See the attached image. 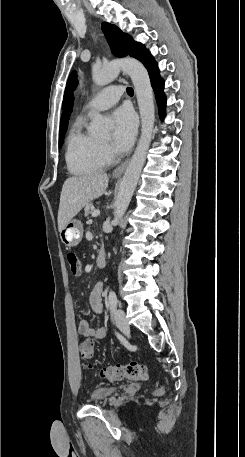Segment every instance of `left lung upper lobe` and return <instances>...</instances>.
Masks as SVG:
<instances>
[{
    "label": "left lung upper lobe",
    "mask_w": 245,
    "mask_h": 457,
    "mask_svg": "<svg viewBox=\"0 0 245 457\" xmlns=\"http://www.w3.org/2000/svg\"><path fill=\"white\" fill-rule=\"evenodd\" d=\"M102 30L115 56L124 57L130 55L141 60L149 54L143 44L135 42L130 35L123 33L117 26L104 22L102 23ZM76 85V73L72 72L67 81L63 105L67 102L70 92L73 91Z\"/></svg>",
    "instance_id": "obj_1"
}]
</instances>
